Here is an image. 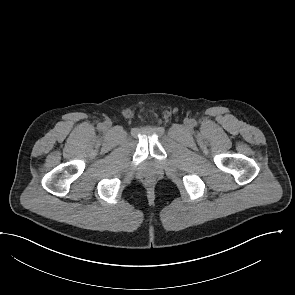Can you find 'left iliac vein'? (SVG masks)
Listing matches in <instances>:
<instances>
[{
    "mask_svg": "<svg viewBox=\"0 0 295 295\" xmlns=\"http://www.w3.org/2000/svg\"><path fill=\"white\" fill-rule=\"evenodd\" d=\"M190 125V120L186 121V127H188Z\"/></svg>",
    "mask_w": 295,
    "mask_h": 295,
    "instance_id": "1",
    "label": "left iliac vein"
}]
</instances>
